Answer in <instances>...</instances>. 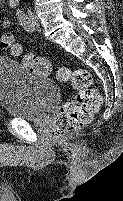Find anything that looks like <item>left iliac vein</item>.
Here are the masks:
<instances>
[{"instance_id": "left-iliac-vein-1", "label": "left iliac vein", "mask_w": 123, "mask_h": 201, "mask_svg": "<svg viewBox=\"0 0 123 201\" xmlns=\"http://www.w3.org/2000/svg\"><path fill=\"white\" fill-rule=\"evenodd\" d=\"M29 20H30V24H31L33 31L38 30L39 29V23H38L36 16L33 13H30Z\"/></svg>"}]
</instances>
